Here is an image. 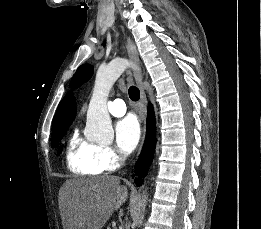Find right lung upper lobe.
I'll return each mask as SVG.
<instances>
[{
	"mask_svg": "<svg viewBox=\"0 0 261 229\" xmlns=\"http://www.w3.org/2000/svg\"><path fill=\"white\" fill-rule=\"evenodd\" d=\"M76 115V104L73 95L69 92L61 101L53 119V125L72 123Z\"/></svg>",
	"mask_w": 261,
	"mask_h": 229,
	"instance_id": "cb5924a9",
	"label": "right lung upper lobe"
}]
</instances>
